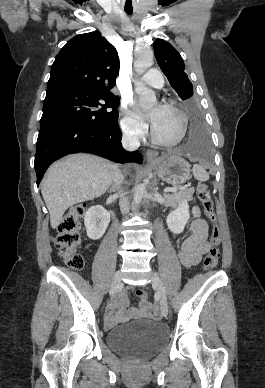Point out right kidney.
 I'll use <instances>...</instances> for the list:
<instances>
[{
    "instance_id": "1",
    "label": "right kidney",
    "mask_w": 265,
    "mask_h": 388,
    "mask_svg": "<svg viewBox=\"0 0 265 388\" xmlns=\"http://www.w3.org/2000/svg\"><path fill=\"white\" fill-rule=\"evenodd\" d=\"M110 222V214L102 206H91L84 218L86 234L90 240H100Z\"/></svg>"
}]
</instances>
